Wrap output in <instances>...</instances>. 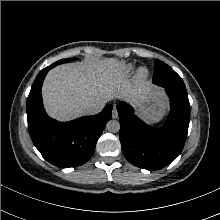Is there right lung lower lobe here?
Wrapping results in <instances>:
<instances>
[{"mask_svg": "<svg viewBox=\"0 0 220 220\" xmlns=\"http://www.w3.org/2000/svg\"><path fill=\"white\" fill-rule=\"evenodd\" d=\"M53 67L54 64L40 71L29 93L26 107L29 133L33 144L49 163L60 168L80 166L93 155L113 107L109 104L99 114L69 122L50 118L43 107L41 86Z\"/></svg>", "mask_w": 220, "mask_h": 220, "instance_id": "1", "label": "right lung lower lobe"}]
</instances>
